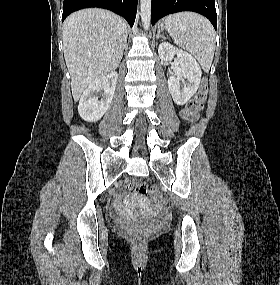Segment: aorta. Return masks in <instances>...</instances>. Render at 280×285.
<instances>
[{
  "label": "aorta",
  "mask_w": 280,
  "mask_h": 285,
  "mask_svg": "<svg viewBox=\"0 0 280 285\" xmlns=\"http://www.w3.org/2000/svg\"><path fill=\"white\" fill-rule=\"evenodd\" d=\"M151 1L152 0H140V16H141L143 28L145 30H147L150 26Z\"/></svg>",
  "instance_id": "obj_1"
}]
</instances>
